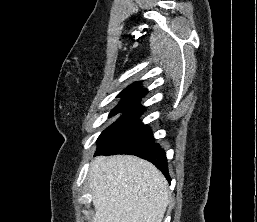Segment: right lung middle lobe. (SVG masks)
I'll return each instance as SVG.
<instances>
[{
  "instance_id": "dd1d6c3e",
  "label": "right lung middle lobe",
  "mask_w": 257,
  "mask_h": 222,
  "mask_svg": "<svg viewBox=\"0 0 257 222\" xmlns=\"http://www.w3.org/2000/svg\"><path fill=\"white\" fill-rule=\"evenodd\" d=\"M145 110V107L139 105V101L127 100L121 101L109 114L112 117L118 113L123 114L107 129H105L97 140L99 147L105 146L128 132L142 125L139 121L140 114Z\"/></svg>"
}]
</instances>
